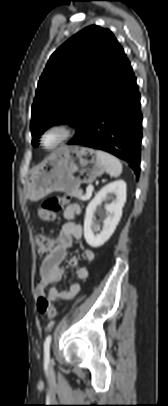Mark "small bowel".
Masks as SVG:
<instances>
[{
	"label": "small bowel",
	"instance_id": "1",
	"mask_svg": "<svg viewBox=\"0 0 168 406\" xmlns=\"http://www.w3.org/2000/svg\"><path fill=\"white\" fill-rule=\"evenodd\" d=\"M81 214V208L77 204H71L64 210L65 221L61 225L58 235V245L51 254L44 258L40 266V279L35 286L37 295L45 292L50 284L58 282L63 275L62 263L66 259L68 250L75 240L82 237V226L73 219ZM84 258L87 262L95 259V252L91 249L84 251ZM79 264V256L74 255L69 259V265L76 267ZM90 271L87 265H82L76 270V277L80 280L87 279ZM81 290L79 282L73 281L67 288L59 290L56 287L48 289V297L54 301H68L73 299Z\"/></svg>",
	"mask_w": 168,
	"mask_h": 406
}]
</instances>
